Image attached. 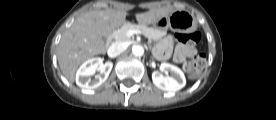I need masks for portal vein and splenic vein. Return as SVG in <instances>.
Returning a JSON list of instances; mask_svg holds the SVG:
<instances>
[{
    "mask_svg": "<svg viewBox=\"0 0 276 120\" xmlns=\"http://www.w3.org/2000/svg\"><path fill=\"white\" fill-rule=\"evenodd\" d=\"M134 34H141V31H139V30H129V31L127 32V36H128V37H131V36L134 35Z\"/></svg>",
    "mask_w": 276,
    "mask_h": 120,
    "instance_id": "obj_1",
    "label": "portal vein and splenic vein"
}]
</instances>
